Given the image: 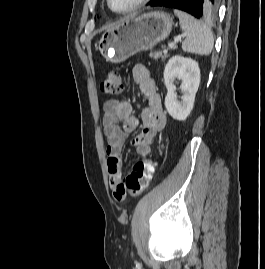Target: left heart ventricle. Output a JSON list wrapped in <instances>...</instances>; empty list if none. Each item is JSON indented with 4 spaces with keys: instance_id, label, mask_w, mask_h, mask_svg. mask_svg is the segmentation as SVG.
Listing matches in <instances>:
<instances>
[{
    "instance_id": "obj_1",
    "label": "left heart ventricle",
    "mask_w": 265,
    "mask_h": 269,
    "mask_svg": "<svg viewBox=\"0 0 265 269\" xmlns=\"http://www.w3.org/2000/svg\"><path fill=\"white\" fill-rule=\"evenodd\" d=\"M137 0H111L112 7L116 10H124L132 6Z\"/></svg>"
}]
</instances>
